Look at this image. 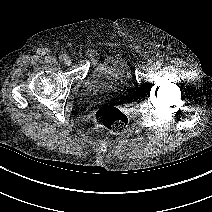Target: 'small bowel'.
I'll return each instance as SVG.
<instances>
[{"label":"small bowel","mask_w":212,"mask_h":212,"mask_svg":"<svg viewBox=\"0 0 212 212\" xmlns=\"http://www.w3.org/2000/svg\"><path fill=\"white\" fill-rule=\"evenodd\" d=\"M88 56L93 60L95 61L96 57H97V51L95 50H89L88 51Z\"/></svg>","instance_id":"obj_1"}]
</instances>
